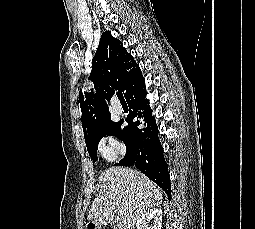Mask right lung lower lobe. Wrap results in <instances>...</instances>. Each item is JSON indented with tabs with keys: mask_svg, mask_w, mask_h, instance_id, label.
I'll use <instances>...</instances> for the list:
<instances>
[{
	"mask_svg": "<svg viewBox=\"0 0 255 229\" xmlns=\"http://www.w3.org/2000/svg\"><path fill=\"white\" fill-rule=\"evenodd\" d=\"M145 80L141 70L133 71L124 94L130 113L125 127L131 144L130 152L119 162L120 166L136 164L138 169L161 187L171 200V184L163 148L158 137L155 117L146 99ZM123 122V121H122ZM139 126H144L143 128Z\"/></svg>",
	"mask_w": 255,
	"mask_h": 229,
	"instance_id": "right-lung-lower-lobe-1",
	"label": "right lung lower lobe"
}]
</instances>
